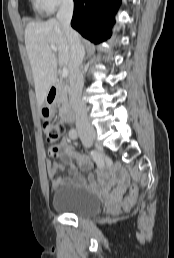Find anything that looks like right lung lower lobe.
Masks as SVG:
<instances>
[{"mask_svg":"<svg viewBox=\"0 0 174 258\" xmlns=\"http://www.w3.org/2000/svg\"><path fill=\"white\" fill-rule=\"evenodd\" d=\"M71 26L91 42L98 44L111 36L110 27L121 0H74Z\"/></svg>","mask_w":174,"mask_h":258,"instance_id":"obj_1","label":"right lung lower lobe"}]
</instances>
